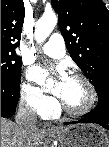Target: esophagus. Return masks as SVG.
<instances>
[{"instance_id": "1", "label": "esophagus", "mask_w": 109, "mask_h": 147, "mask_svg": "<svg viewBox=\"0 0 109 147\" xmlns=\"http://www.w3.org/2000/svg\"><path fill=\"white\" fill-rule=\"evenodd\" d=\"M54 127H53V125L51 124V123H48V122H46V123H44V129H53Z\"/></svg>"}]
</instances>
